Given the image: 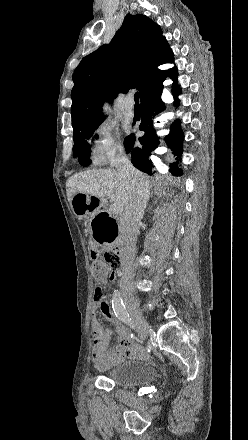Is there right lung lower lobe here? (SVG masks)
<instances>
[{"mask_svg":"<svg viewBox=\"0 0 248 440\" xmlns=\"http://www.w3.org/2000/svg\"><path fill=\"white\" fill-rule=\"evenodd\" d=\"M178 84L175 81L172 92L175 97L180 94V88H178ZM162 90L154 92L153 94L147 96L143 101H141V124L139 129L144 131L145 134L139 138L141 143V147H136L135 144V135L131 134L127 138V143L125 145L126 152L131 155V162L133 165L139 170L152 175L153 165L150 159L151 153L156 149L159 143V138L156 135L155 130L153 129L152 119L158 113H161L165 109V104L161 100ZM178 104V101H175ZM166 141L168 147L173 151L174 155H178L179 157L182 154V141H183V133L180 129L179 120L175 121L171 128L170 134L166 137ZM177 161L170 164V172L173 175H181L182 170L178 168V158Z\"/></svg>","mask_w":248,"mask_h":440,"instance_id":"1","label":"right lung lower lobe"}]
</instances>
